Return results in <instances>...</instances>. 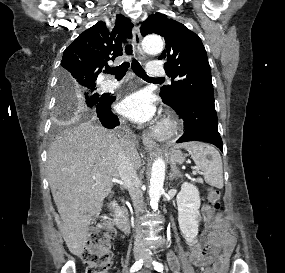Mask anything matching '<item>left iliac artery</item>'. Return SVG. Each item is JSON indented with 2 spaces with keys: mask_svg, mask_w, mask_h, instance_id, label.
I'll use <instances>...</instances> for the list:
<instances>
[{
  "mask_svg": "<svg viewBox=\"0 0 285 273\" xmlns=\"http://www.w3.org/2000/svg\"><path fill=\"white\" fill-rule=\"evenodd\" d=\"M152 264H153L154 269H155L156 271H158V272L163 271L164 266H163L162 263H160V262L154 260Z\"/></svg>",
  "mask_w": 285,
  "mask_h": 273,
  "instance_id": "44dca946",
  "label": "left iliac artery"
}]
</instances>
